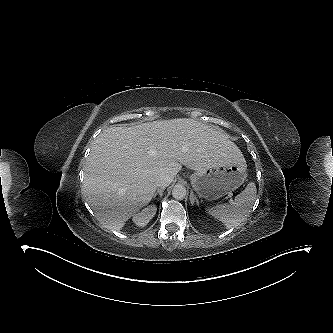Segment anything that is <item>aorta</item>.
Masks as SVG:
<instances>
[{"instance_id":"aorta-1","label":"aorta","mask_w":333,"mask_h":333,"mask_svg":"<svg viewBox=\"0 0 333 333\" xmlns=\"http://www.w3.org/2000/svg\"><path fill=\"white\" fill-rule=\"evenodd\" d=\"M172 196L176 200L184 199L186 196V188L181 184L175 185L172 190Z\"/></svg>"}]
</instances>
